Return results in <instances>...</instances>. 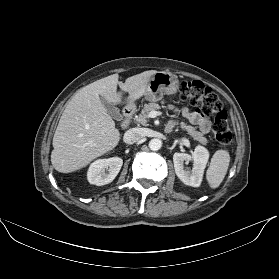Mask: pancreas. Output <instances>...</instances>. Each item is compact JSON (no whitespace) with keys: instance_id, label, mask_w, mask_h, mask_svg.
<instances>
[{"instance_id":"1","label":"pancreas","mask_w":279,"mask_h":279,"mask_svg":"<svg viewBox=\"0 0 279 279\" xmlns=\"http://www.w3.org/2000/svg\"><path fill=\"white\" fill-rule=\"evenodd\" d=\"M160 109V105L154 102L148 103L145 105V107L141 110V113L139 114V116L136 117V121L144 126L148 125V114L151 111H155V110H159ZM178 124V123H177ZM180 127L183 130H186L187 133L196 141H198L201 144H207V139L206 137H204V135L199 132L196 131V129L190 125H186L184 122L180 123Z\"/></svg>"}]
</instances>
